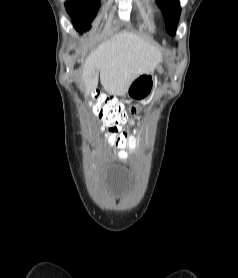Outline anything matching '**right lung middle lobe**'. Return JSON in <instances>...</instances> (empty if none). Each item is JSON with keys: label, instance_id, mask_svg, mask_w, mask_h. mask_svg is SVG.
<instances>
[{"label": "right lung middle lobe", "instance_id": "dd1d6c3e", "mask_svg": "<svg viewBox=\"0 0 238 278\" xmlns=\"http://www.w3.org/2000/svg\"><path fill=\"white\" fill-rule=\"evenodd\" d=\"M67 13L77 22L74 23L78 31H86L90 28V22L93 21L99 3H93L92 0H68L65 4Z\"/></svg>", "mask_w": 238, "mask_h": 278}]
</instances>
